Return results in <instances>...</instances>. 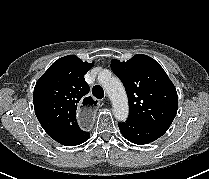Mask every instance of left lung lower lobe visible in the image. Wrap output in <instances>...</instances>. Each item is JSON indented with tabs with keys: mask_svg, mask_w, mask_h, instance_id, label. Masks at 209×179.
<instances>
[{
	"mask_svg": "<svg viewBox=\"0 0 209 179\" xmlns=\"http://www.w3.org/2000/svg\"><path fill=\"white\" fill-rule=\"evenodd\" d=\"M121 134L130 142L138 145L148 144L161 137L166 131L151 127L128 118L119 123Z\"/></svg>",
	"mask_w": 209,
	"mask_h": 179,
	"instance_id": "obj_1",
	"label": "left lung lower lobe"
}]
</instances>
